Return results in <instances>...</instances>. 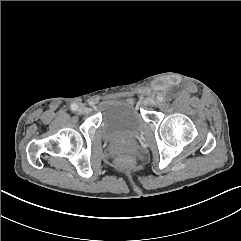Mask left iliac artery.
Instances as JSON below:
<instances>
[{
  "label": "left iliac artery",
  "instance_id": "1",
  "mask_svg": "<svg viewBox=\"0 0 241 241\" xmlns=\"http://www.w3.org/2000/svg\"><path fill=\"white\" fill-rule=\"evenodd\" d=\"M158 100L161 102V101H163L164 99H163L162 96H158Z\"/></svg>",
  "mask_w": 241,
  "mask_h": 241
}]
</instances>
